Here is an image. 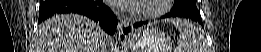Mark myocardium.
<instances>
[{"label": "myocardium", "instance_id": "myocardium-1", "mask_svg": "<svg viewBox=\"0 0 261 52\" xmlns=\"http://www.w3.org/2000/svg\"><path fill=\"white\" fill-rule=\"evenodd\" d=\"M171 2V0H159L158 5L154 8H147L141 3L130 11L142 19H156L167 13Z\"/></svg>", "mask_w": 261, "mask_h": 52}]
</instances>
